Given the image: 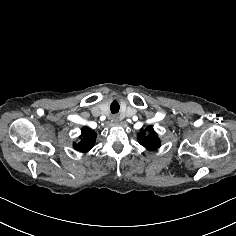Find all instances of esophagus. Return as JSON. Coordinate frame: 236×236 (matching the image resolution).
Wrapping results in <instances>:
<instances>
[{
    "label": "esophagus",
    "mask_w": 236,
    "mask_h": 236,
    "mask_svg": "<svg viewBox=\"0 0 236 236\" xmlns=\"http://www.w3.org/2000/svg\"><path fill=\"white\" fill-rule=\"evenodd\" d=\"M119 122V115L112 114L110 117V123L111 124H117Z\"/></svg>",
    "instance_id": "1"
}]
</instances>
